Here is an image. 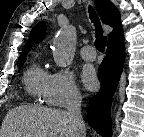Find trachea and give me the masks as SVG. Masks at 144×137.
Wrapping results in <instances>:
<instances>
[{"instance_id":"1","label":"trachea","mask_w":144,"mask_h":137,"mask_svg":"<svg viewBox=\"0 0 144 137\" xmlns=\"http://www.w3.org/2000/svg\"><path fill=\"white\" fill-rule=\"evenodd\" d=\"M89 14H90V19L94 23L95 28H96L95 47L100 52H104L105 45H106V37L103 36V29L101 27L100 21L97 17L95 10L91 6L89 7Z\"/></svg>"}]
</instances>
